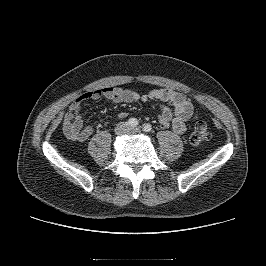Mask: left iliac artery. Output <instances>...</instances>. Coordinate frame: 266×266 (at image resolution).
<instances>
[{
    "label": "left iliac artery",
    "mask_w": 266,
    "mask_h": 266,
    "mask_svg": "<svg viewBox=\"0 0 266 266\" xmlns=\"http://www.w3.org/2000/svg\"><path fill=\"white\" fill-rule=\"evenodd\" d=\"M151 129H152V126H151L150 124H145V125L143 126V130H144L145 132H150Z\"/></svg>",
    "instance_id": "1"
}]
</instances>
